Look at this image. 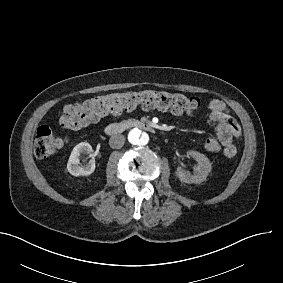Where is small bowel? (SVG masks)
Instances as JSON below:
<instances>
[{"instance_id": "1", "label": "small bowel", "mask_w": 283, "mask_h": 283, "mask_svg": "<svg viewBox=\"0 0 283 283\" xmlns=\"http://www.w3.org/2000/svg\"><path fill=\"white\" fill-rule=\"evenodd\" d=\"M209 118L215 124V133L221 141L223 154L232 159L237 155L235 144L240 137L241 128L238 122L230 115L227 105L219 99H213L208 104Z\"/></svg>"}]
</instances>
